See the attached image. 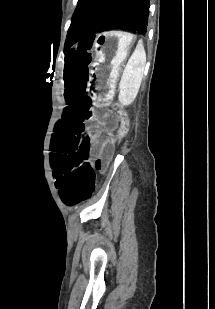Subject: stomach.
Returning a JSON list of instances; mask_svg holds the SVG:
<instances>
[{"instance_id":"0dacf381","label":"stomach","mask_w":215,"mask_h":309,"mask_svg":"<svg viewBox=\"0 0 215 309\" xmlns=\"http://www.w3.org/2000/svg\"><path fill=\"white\" fill-rule=\"evenodd\" d=\"M135 42L134 34L122 30L103 32L96 37L95 57L88 82L95 99L104 101L113 95L120 66Z\"/></svg>"}]
</instances>
